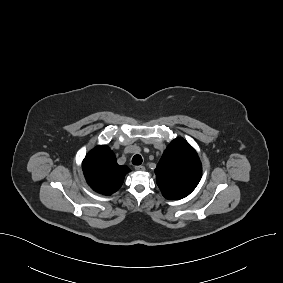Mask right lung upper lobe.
Listing matches in <instances>:
<instances>
[{"mask_svg": "<svg viewBox=\"0 0 283 283\" xmlns=\"http://www.w3.org/2000/svg\"><path fill=\"white\" fill-rule=\"evenodd\" d=\"M82 168L89 186L96 192L110 195L122 185L130 172L126 165H118L116 157L107 145L91 150L83 160Z\"/></svg>", "mask_w": 283, "mask_h": 283, "instance_id": "cb5924a9", "label": "right lung upper lobe"}]
</instances>
